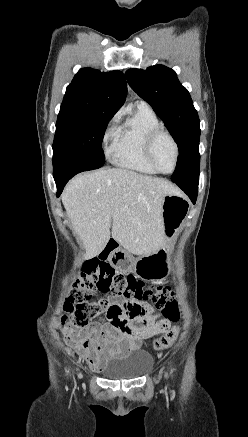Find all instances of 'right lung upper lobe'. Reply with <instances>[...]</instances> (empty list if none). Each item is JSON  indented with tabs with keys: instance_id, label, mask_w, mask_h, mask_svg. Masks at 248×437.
<instances>
[{
	"instance_id": "1",
	"label": "right lung upper lobe",
	"mask_w": 248,
	"mask_h": 437,
	"mask_svg": "<svg viewBox=\"0 0 248 437\" xmlns=\"http://www.w3.org/2000/svg\"><path fill=\"white\" fill-rule=\"evenodd\" d=\"M126 95L127 84L122 72L82 68L67 86L60 110L113 116L123 105Z\"/></svg>"
}]
</instances>
